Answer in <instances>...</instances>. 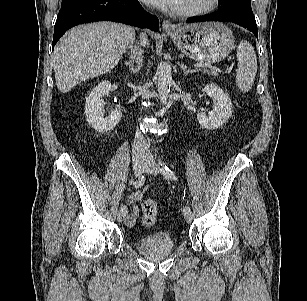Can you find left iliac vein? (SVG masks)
Returning <instances> with one entry per match:
<instances>
[{
	"mask_svg": "<svg viewBox=\"0 0 307 301\" xmlns=\"http://www.w3.org/2000/svg\"><path fill=\"white\" fill-rule=\"evenodd\" d=\"M145 172L146 173H152L157 174L159 172V166L157 162L154 160L152 155L150 153L145 154ZM184 217L187 223H191L193 221L194 215L190 209V211L184 213Z\"/></svg>",
	"mask_w": 307,
	"mask_h": 301,
	"instance_id": "left-iliac-vein-1",
	"label": "left iliac vein"
}]
</instances>
